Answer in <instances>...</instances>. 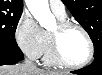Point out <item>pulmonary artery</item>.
Returning <instances> with one entry per match:
<instances>
[{
	"instance_id": "e3ab8cb5",
	"label": "pulmonary artery",
	"mask_w": 102,
	"mask_h": 75,
	"mask_svg": "<svg viewBox=\"0 0 102 75\" xmlns=\"http://www.w3.org/2000/svg\"><path fill=\"white\" fill-rule=\"evenodd\" d=\"M50 9L59 16H66V8L62 1L49 0Z\"/></svg>"
}]
</instances>
